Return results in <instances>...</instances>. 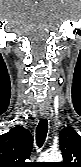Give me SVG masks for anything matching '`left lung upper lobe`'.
<instances>
[{"mask_svg": "<svg viewBox=\"0 0 81 167\" xmlns=\"http://www.w3.org/2000/svg\"><path fill=\"white\" fill-rule=\"evenodd\" d=\"M59 143L64 162L58 163V167H81V136L66 127L60 132Z\"/></svg>", "mask_w": 81, "mask_h": 167, "instance_id": "5c2ea615", "label": "left lung upper lobe"}]
</instances>
